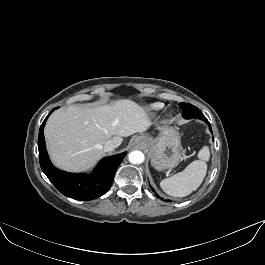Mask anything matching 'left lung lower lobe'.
I'll list each match as a JSON object with an SVG mask.
<instances>
[{
  "mask_svg": "<svg viewBox=\"0 0 265 265\" xmlns=\"http://www.w3.org/2000/svg\"><path fill=\"white\" fill-rule=\"evenodd\" d=\"M195 118H198V119H201V120L205 121L210 126V123L208 122V120L206 119V117L204 115H199V116H196ZM210 130L212 132L211 127H210ZM156 196L159 197V195H156Z\"/></svg>",
  "mask_w": 265,
  "mask_h": 265,
  "instance_id": "1",
  "label": "left lung lower lobe"
}]
</instances>
